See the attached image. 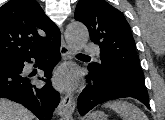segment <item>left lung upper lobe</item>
Instances as JSON below:
<instances>
[{
	"label": "left lung upper lobe",
	"instance_id": "obj_1",
	"mask_svg": "<svg viewBox=\"0 0 165 120\" xmlns=\"http://www.w3.org/2000/svg\"><path fill=\"white\" fill-rule=\"evenodd\" d=\"M75 19L86 25L90 39L100 47V63L91 71L102 85L146 88L130 26L122 12L105 0H80Z\"/></svg>",
	"mask_w": 165,
	"mask_h": 120
}]
</instances>
